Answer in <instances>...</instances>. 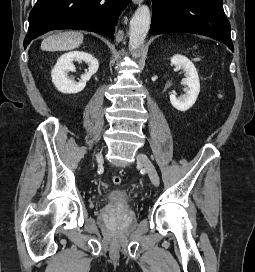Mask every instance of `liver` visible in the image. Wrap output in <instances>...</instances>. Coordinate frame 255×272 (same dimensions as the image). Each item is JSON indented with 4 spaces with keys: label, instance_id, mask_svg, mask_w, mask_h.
I'll list each match as a JSON object with an SVG mask.
<instances>
[{
    "label": "liver",
    "instance_id": "obj_1",
    "mask_svg": "<svg viewBox=\"0 0 255 272\" xmlns=\"http://www.w3.org/2000/svg\"><path fill=\"white\" fill-rule=\"evenodd\" d=\"M83 39V34L80 32H62L46 37L41 43V49L45 51L72 50L79 47Z\"/></svg>",
    "mask_w": 255,
    "mask_h": 272
}]
</instances>
